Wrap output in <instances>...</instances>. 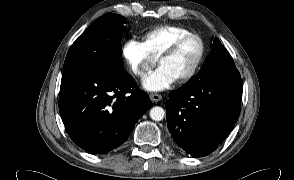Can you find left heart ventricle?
I'll return each instance as SVG.
<instances>
[{
	"mask_svg": "<svg viewBox=\"0 0 294 180\" xmlns=\"http://www.w3.org/2000/svg\"><path fill=\"white\" fill-rule=\"evenodd\" d=\"M198 54V41L196 39H189L172 56L161 60L159 64L165 67L178 80L190 71Z\"/></svg>",
	"mask_w": 294,
	"mask_h": 180,
	"instance_id": "1",
	"label": "left heart ventricle"
}]
</instances>
